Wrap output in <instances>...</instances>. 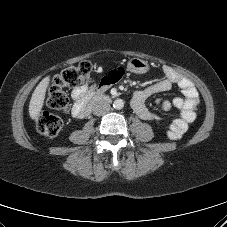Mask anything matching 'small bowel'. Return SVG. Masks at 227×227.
<instances>
[{
	"label": "small bowel",
	"mask_w": 227,
	"mask_h": 227,
	"mask_svg": "<svg viewBox=\"0 0 227 227\" xmlns=\"http://www.w3.org/2000/svg\"><path fill=\"white\" fill-rule=\"evenodd\" d=\"M164 79L151 84L143 89L137 90L132 97L131 106L136 115L143 120L160 119L161 116L150 111L146 106V100L152 95L168 91L176 84L183 97H176L172 101L157 100V105L162 111H169L172 107L179 111V117L171 123L167 136L171 140H178L187 132L189 124L196 118V110L199 105V95L193 82L179 74L172 67H163ZM124 74L122 68H112L102 77L98 84H83L72 91V98L75 101L72 108V115L75 118L83 117V107L94 93H102L112 84L117 82Z\"/></svg>",
	"instance_id": "small-bowel-1"
}]
</instances>
